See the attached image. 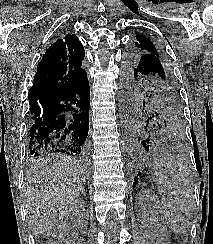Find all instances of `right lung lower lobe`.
Segmentation results:
<instances>
[{
  "instance_id": "right-lung-lower-lobe-1",
  "label": "right lung lower lobe",
  "mask_w": 213,
  "mask_h": 244,
  "mask_svg": "<svg viewBox=\"0 0 213 244\" xmlns=\"http://www.w3.org/2000/svg\"><path fill=\"white\" fill-rule=\"evenodd\" d=\"M90 88L85 75L66 91L33 98L29 153L82 155L87 152Z\"/></svg>"
}]
</instances>
